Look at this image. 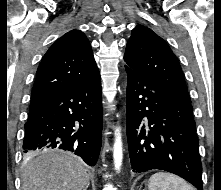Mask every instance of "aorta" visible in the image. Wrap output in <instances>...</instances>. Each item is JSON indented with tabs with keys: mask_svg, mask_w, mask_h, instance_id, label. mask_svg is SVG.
<instances>
[{
	"mask_svg": "<svg viewBox=\"0 0 221 190\" xmlns=\"http://www.w3.org/2000/svg\"><path fill=\"white\" fill-rule=\"evenodd\" d=\"M113 158H114V166L117 171L120 170L123 159V150H122V140L120 127L116 128L115 131V142L113 147Z\"/></svg>",
	"mask_w": 221,
	"mask_h": 190,
	"instance_id": "obj_1",
	"label": "aorta"
}]
</instances>
